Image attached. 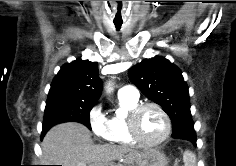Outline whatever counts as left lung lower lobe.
<instances>
[{
	"mask_svg": "<svg viewBox=\"0 0 236 166\" xmlns=\"http://www.w3.org/2000/svg\"><path fill=\"white\" fill-rule=\"evenodd\" d=\"M172 125V138L185 139L191 141L193 144H196V133L194 131V127L181 122L173 123Z\"/></svg>",
	"mask_w": 236,
	"mask_h": 166,
	"instance_id": "0a47b994",
	"label": "left lung lower lobe"
}]
</instances>
